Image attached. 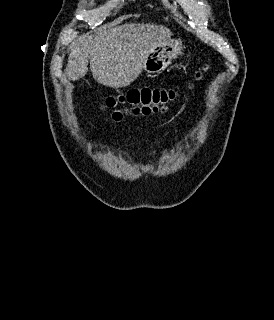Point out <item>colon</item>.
Here are the masks:
<instances>
[{"mask_svg": "<svg viewBox=\"0 0 274 320\" xmlns=\"http://www.w3.org/2000/svg\"><path fill=\"white\" fill-rule=\"evenodd\" d=\"M207 66L203 65L195 74V80L204 77ZM190 82L187 88H193ZM185 89L140 87L131 88L119 94L110 96L101 104V108L112 109L109 120L119 121L129 116L150 115L162 113L167 105L177 100Z\"/></svg>", "mask_w": 274, "mask_h": 320, "instance_id": "colon-1", "label": "colon"}]
</instances>
